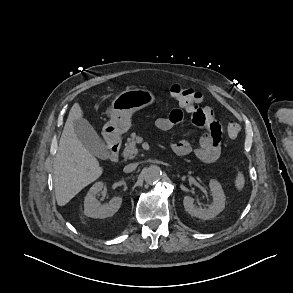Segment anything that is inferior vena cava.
Masks as SVG:
<instances>
[{"label":"inferior vena cava","instance_id":"1","mask_svg":"<svg viewBox=\"0 0 293 293\" xmlns=\"http://www.w3.org/2000/svg\"><path fill=\"white\" fill-rule=\"evenodd\" d=\"M137 167V163H131V164H128L124 167L123 171L125 173H129V172H132L136 169Z\"/></svg>","mask_w":293,"mask_h":293}]
</instances>
